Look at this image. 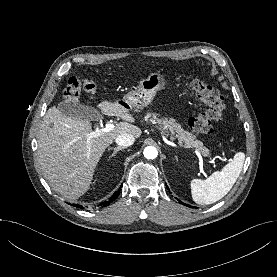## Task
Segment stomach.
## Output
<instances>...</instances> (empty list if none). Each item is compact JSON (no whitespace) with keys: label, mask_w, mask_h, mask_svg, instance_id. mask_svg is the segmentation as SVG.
<instances>
[{"label":"stomach","mask_w":277,"mask_h":277,"mask_svg":"<svg viewBox=\"0 0 277 277\" xmlns=\"http://www.w3.org/2000/svg\"><path fill=\"white\" fill-rule=\"evenodd\" d=\"M165 76L159 72L151 73L146 79L140 81L138 90L127 93L122 99H116L120 105L127 109H142L148 106L156 93L165 88Z\"/></svg>","instance_id":"1"}]
</instances>
